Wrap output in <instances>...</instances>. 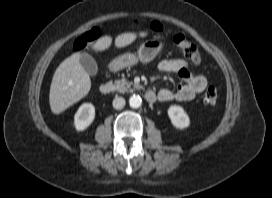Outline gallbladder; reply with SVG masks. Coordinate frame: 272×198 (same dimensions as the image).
Listing matches in <instances>:
<instances>
[{
	"label": "gallbladder",
	"instance_id": "gallbladder-1",
	"mask_svg": "<svg viewBox=\"0 0 272 198\" xmlns=\"http://www.w3.org/2000/svg\"><path fill=\"white\" fill-rule=\"evenodd\" d=\"M80 64L89 75L94 76L97 74L98 66L91 55L83 53L80 57Z\"/></svg>",
	"mask_w": 272,
	"mask_h": 198
}]
</instances>
